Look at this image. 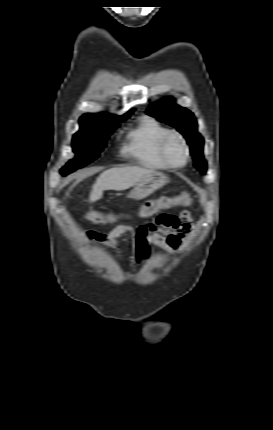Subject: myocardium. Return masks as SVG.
Here are the masks:
<instances>
[{"label":"myocardium","instance_id":"1","mask_svg":"<svg viewBox=\"0 0 273 430\" xmlns=\"http://www.w3.org/2000/svg\"><path fill=\"white\" fill-rule=\"evenodd\" d=\"M177 138L181 141L184 148V158L180 163L172 162L167 156L166 147L170 139ZM159 154L161 159L171 168H181L187 164L190 159V149L186 138L179 132L170 131L161 140L159 145Z\"/></svg>","mask_w":273,"mask_h":430}]
</instances>
